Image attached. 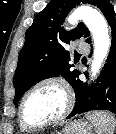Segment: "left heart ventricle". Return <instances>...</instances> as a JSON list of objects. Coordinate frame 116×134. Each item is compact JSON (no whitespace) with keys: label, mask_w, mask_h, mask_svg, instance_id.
<instances>
[{"label":"left heart ventricle","mask_w":116,"mask_h":134,"mask_svg":"<svg viewBox=\"0 0 116 134\" xmlns=\"http://www.w3.org/2000/svg\"><path fill=\"white\" fill-rule=\"evenodd\" d=\"M64 107L65 96L58 86H41L26 98L24 118L33 124L43 123L58 116Z\"/></svg>","instance_id":"1"}]
</instances>
